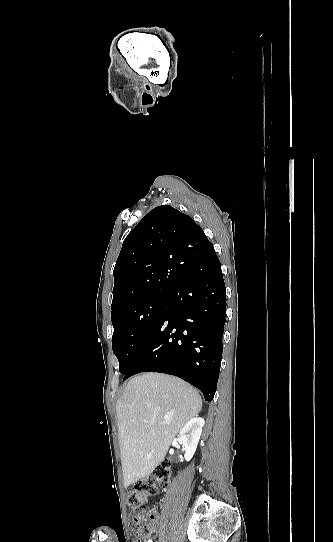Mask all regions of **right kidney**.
<instances>
[{
	"label": "right kidney",
	"instance_id": "obj_1",
	"mask_svg": "<svg viewBox=\"0 0 333 542\" xmlns=\"http://www.w3.org/2000/svg\"><path fill=\"white\" fill-rule=\"evenodd\" d=\"M204 424L203 418H192L179 434L178 442L183 446L186 462H190L196 452Z\"/></svg>",
	"mask_w": 333,
	"mask_h": 542
}]
</instances>
